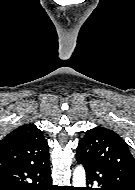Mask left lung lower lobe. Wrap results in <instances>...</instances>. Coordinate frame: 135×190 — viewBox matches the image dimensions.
<instances>
[{"label":"left lung lower lobe","instance_id":"1","mask_svg":"<svg viewBox=\"0 0 135 190\" xmlns=\"http://www.w3.org/2000/svg\"><path fill=\"white\" fill-rule=\"evenodd\" d=\"M78 163L82 164L86 171V180L88 183L93 184L97 182L99 185H102L99 190H126L124 186L118 183L114 177L106 172L105 170L98 168L97 166L91 163H85L78 160ZM83 190H94L93 188H85Z\"/></svg>","mask_w":135,"mask_h":190}]
</instances>
